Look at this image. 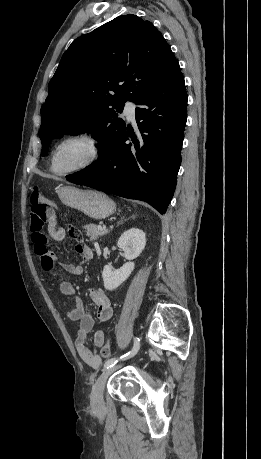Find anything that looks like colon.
Masks as SVG:
<instances>
[{
	"instance_id": "1",
	"label": "colon",
	"mask_w": 261,
	"mask_h": 459,
	"mask_svg": "<svg viewBox=\"0 0 261 459\" xmlns=\"http://www.w3.org/2000/svg\"><path fill=\"white\" fill-rule=\"evenodd\" d=\"M30 202L32 205V220L30 221L31 226L29 231L31 234H34L35 238H44L46 233L42 228L45 224L55 219L57 206L52 200L44 196L37 186H35L31 192ZM68 228L72 236L80 237L81 233L79 230L74 227ZM111 353V342L107 340L101 347V356L106 359L111 356Z\"/></svg>"
}]
</instances>
